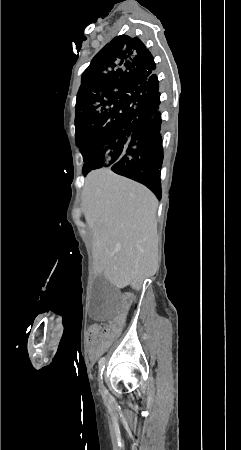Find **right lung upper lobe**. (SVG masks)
I'll return each mask as SVG.
<instances>
[{
	"label": "right lung upper lobe",
	"instance_id": "right-lung-upper-lobe-1",
	"mask_svg": "<svg viewBox=\"0 0 241 450\" xmlns=\"http://www.w3.org/2000/svg\"><path fill=\"white\" fill-rule=\"evenodd\" d=\"M155 69L154 59L140 39L120 35L97 53L82 82L114 85L123 96L145 99V82Z\"/></svg>",
	"mask_w": 241,
	"mask_h": 450
}]
</instances>
